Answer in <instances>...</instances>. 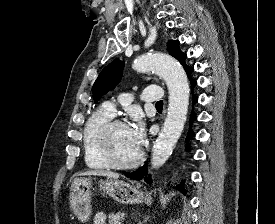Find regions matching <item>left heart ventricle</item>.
<instances>
[{"instance_id":"left-heart-ventricle-1","label":"left heart ventricle","mask_w":275,"mask_h":224,"mask_svg":"<svg viewBox=\"0 0 275 224\" xmlns=\"http://www.w3.org/2000/svg\"><path fill=\"white\" fill-rule=\"evenodd\" d=\"M110 144L114 157L119 162L133 160L139 151V146L132 139L127 126H115L110 132Z\"/></svg>"}]
</instances>
